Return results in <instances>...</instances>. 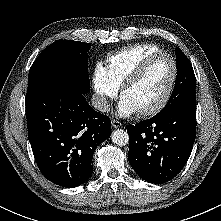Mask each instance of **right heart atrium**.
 Masks as SVG:
<instances>
[{
    "instance_id": "obj_1",
    "label": "right heart atrium",
    "mask_w": 221,
    "mask_h": 221,
    "mask_svg": "<svg viewBox=\"0 0 221 221\" xmlns=\"http://www.w3.org/2000/svg\"><path fill=\"white\" fill-rule=\"evenodd\" d=\"M91 82L97 108L101 111L107 110L109 100L118 93V86L114 83L107 69L100 64L93 68Z\"/></svg>"
}]
</instances>
